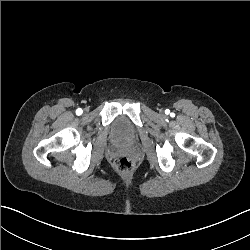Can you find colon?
Wrapping results in <instances>:
<instances>
[{
	"label": "colon",
	"instance_id": "1",
	"mask_svg": "<svg viewBox=\"0 0 250 250\" xmlns=\"http://www.w3.org/2000/svg\"><path fill=\"white\" fill-rule=\"evenodd\" d=\"M114 167L121 177L127 178L135 171L136 165L133 160H130L127 156L121 155L116 158Z\"/></svg>",
	"mask_w": 250,
	"mask_h": 250
}]
</instances>
